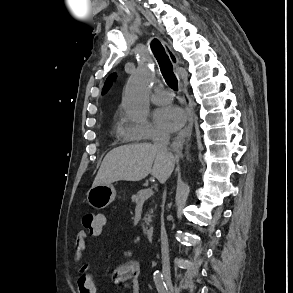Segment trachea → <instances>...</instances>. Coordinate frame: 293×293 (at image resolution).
Instances as JSON below:
<instances>
[{
	"instance_id": "1",
	"label": "trachea",
	"mask_w": 293,
	"mask_h": 293,
	"mask_svg": "<svg viewBox=\"0 0 293 293\" xmlns=\"http://www.w3.org/2000/svg\"><path fill=\"white\" fill-rule=\"evenodd\" d=\"M151 49H152V52H153L155 58L157 59L161 73H162L166 83L173 90H177L178 81H177V78L173 72L172 63H171L168 55L166 54L164 47L162 46V44L160 43L159 40L154 39L151 42Z\"/></svg>"
}]
</instances>
